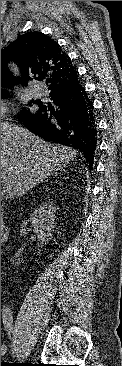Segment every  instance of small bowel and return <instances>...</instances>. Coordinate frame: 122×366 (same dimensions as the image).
<instances>
[{"instance_id": "1", "label": "small bowel", "mask_w": 122, "mask_h": 366, "mask_svg": "<svg viewBox=\"0 0 122 366\" xmlns=\"http://www.w3.org/2000/svg\"><path fill=\"white\" fill-rule=\"evenodd\" d=\"M6 352V348L4 346H1V355H3Z\"/></svg>"}]
</instances>
